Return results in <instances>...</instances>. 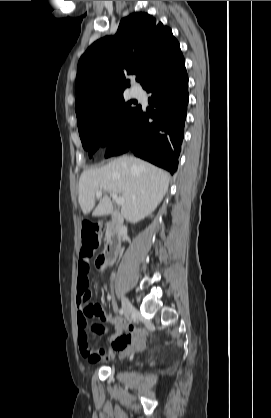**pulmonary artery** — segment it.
<instances>
[{
    "label": "pulmonary artery",
    "mask_w": 271,
    "mask_h": 418,
    "mask_svg": "<svg viewBox=\"0 0 271 418\" xmlns=\"http://www.w3.org/2000/svg\"><path fill=\"white\" fill-rule=\"evenodd\" d=\"M132 94L134 97H139L141 95V91L138 88H134L132 90Z\"/></svg>",
    "instance_id": "e3ab8cb5"
}]
</instances>
